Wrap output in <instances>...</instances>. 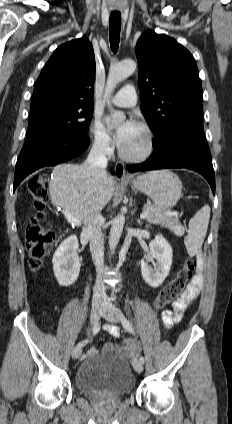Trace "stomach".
<instances>
[{"label": "stomach", "mask_w": 232, "mask_h": 424, "mask_svg": "<svg viewBox=\"0 0 232 424\" xmlns=\"http://www.w3.org/2000/svg\"><path fill=\"white\" fill-rule=\"evenodd\" d=\"M127 183L146 194L161 211L172 209L182 196L181 181L170 170L150 171Z\"/></svg>", "instance_id": "1"}]
</instances>
